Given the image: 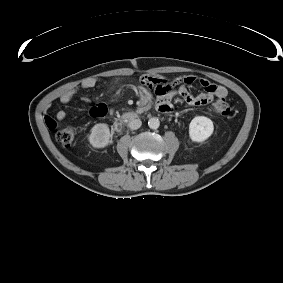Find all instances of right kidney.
I'll return each mask as SVG.
<instances>
[{
	"instance_id": "right-kidney-1",
	"label": "right kidney",
	"mask_w": 283,
	"mask_h": 283,
	"mask_svg": "<svg viewBox=\"0 0 283 283\" xmlns=\"http://www.w3.org/2000/svg\"><path fill=\"white\" fill-rule=\"evenodd\" d=\"M110 130L107 124L98 123L91 129L89 142L94 148H104L110 143Z\"/></svg>"
}]
</instances>
